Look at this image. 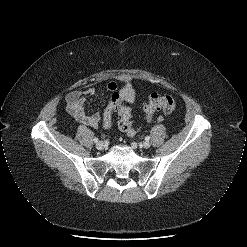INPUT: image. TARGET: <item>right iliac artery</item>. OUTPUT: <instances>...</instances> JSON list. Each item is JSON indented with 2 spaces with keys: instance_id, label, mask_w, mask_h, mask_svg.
<instances>
[{
  "instance_id": "right-iliac-artery-1",
  "label": "right iliac artery",
  "mask_w": 247,
  "mask_h": 247,
  "mask_svg": "<svg viewBox=\"0 0 247 247\" xmlns=\"http://www.w3.org/2000/svg\"><path fill=\"white\" fill-rule=\"evenodd\" d=\"M93 141H94L95 143H97V142H98V138H94Z\"/></svg>"
}]
</instances>
